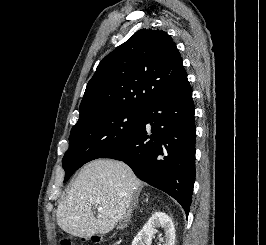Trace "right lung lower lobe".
Wrapping results in <instances>:
<instances>
[{
    "label": "right lung lower lobe",
    "mask_w": 266,
    "mask_h": 245,
    "mask_svg": "<svg viewBox=\"0 0 266 245\" xmlns=\"http://www.w3.org/2000/svg\"><path fill=\"white\" fill-rule=\"evenodd\" d=\"M194 113L186 80L154 101L131 137L101 158L125 162L139 179L176 199L188 215L195 182Z\"/></svg>",
    "instance_id": "1"
}]
</instances>
